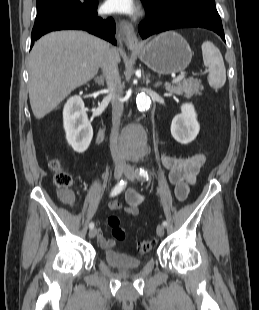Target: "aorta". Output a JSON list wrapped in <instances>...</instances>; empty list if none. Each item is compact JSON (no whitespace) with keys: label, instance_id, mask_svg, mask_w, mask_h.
<instances>
[{"label":"aorta","instance_id":"762f6f07","mask_svg":"<svg viewBox=\"0 0 259 310\" xmlns=\"http://www.w3.org/2000/svg\"><path fill=\"white\" fill-rule=\"evenodd\" d=\"M136 105L139 111L146 112L150 109L151 100L145 93H139L136 97ZM123 150L132 159H140L147 153V134L140 125H130L121 134Z\"/></svg>","mask_w":259,"mask_h":310}]
</instances>
